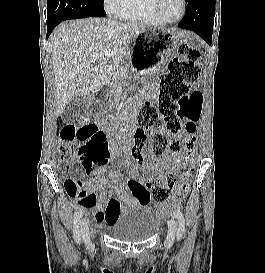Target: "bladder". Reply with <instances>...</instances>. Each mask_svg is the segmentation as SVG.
<instances>
[{"label":"bladder","mask_w":265,"mask_h":273,"mask_svg":"<svg viewBox=\"0 0 265 273\" xmlns=\"http://www.w3.org/2000/svg\"><path fill=\"white\" fill-rule=\"evenodd\" d=\"M160 216L151 208L137 204L125 208L106 227L107 233L115 240L125 243L144 242L159 230Z\"/></svg>","instance_id":"1"}]
</instances>
